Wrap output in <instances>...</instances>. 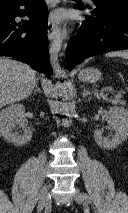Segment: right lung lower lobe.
Wrapping results in <instances>:
<instances>
[{
    "label": "right lung lower lobe",
    "instance_id": "right-lung-lower-lobe-1",
    "mask_svg": "<svg viewBox=\"0 0 128 213\" xmlns=\"http://www.w3.org/2000/svg\"><path fill=\"white\" fill-rule=\"evenodd\" d=\"M25 6L26 10L19 7ZM47 7L44 0H17L0 5V56L21 59L47 75L52 73L47 56ZM29 17L17 23L15 17Z\"/></svg>",
    "mask_w": 128,
    "mask_h": 213
}]
</instances>
